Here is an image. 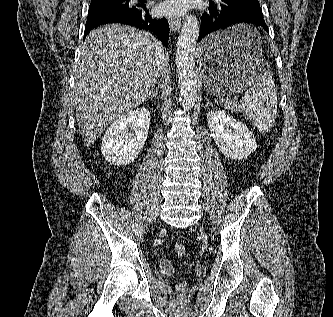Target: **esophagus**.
I'll list each match as a JSON object with an SVG mask.
<instances>
[{"label":"esophagus","instance_id":"esophagus-1","mask_svg":"<svg viewBox=\"0 0 333 317\" xmlns=\"http://www.w3.org/2000/svg\"><path fill=\"white\" fill-rule=\"evenodd\" d=\"M170 28L172 32H178L181 28V20L180 19H170L169 20Z\"/></svg>","mask_w":333,"mask_h":317}]
</instances>
